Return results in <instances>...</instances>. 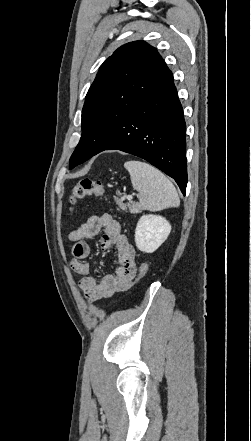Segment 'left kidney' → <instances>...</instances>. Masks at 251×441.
Segmentation results:
<instances>
[{"mask_svg": "<svg viewBox=\"0 0 251 441\" xmlns=\"http://www.w3.org/2000/svg\"><path fill=\"white\" fill-rule=\"evenodd\" d=\"M170 223L159 215H143L136 226L135 243L137 248L146 253H153L168 238Z\"/></svg>", "mask_w": 251, "mask_h": 441, "instance_id": "5707ae66", "label": "left kidney"}]
</instances>
